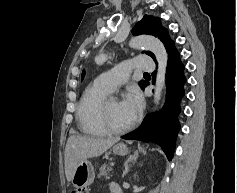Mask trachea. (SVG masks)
I'll use <instances>...</instances> for the list:
<instances>
[{
	"label": "trachea",
	"mask_w": 237,
	"mask_h": 193,
	"mask_svg": "<svg viewBox=\"0 0 237 193\" xmlns=\"http://www.w3.org/2000/svg\"><path fill=\"white\" fill-rule=\"evenodd\" d=\"M144 75H149V73H144Z\"/></svg>",
	"instance_id": "1"
}]
</instances>
